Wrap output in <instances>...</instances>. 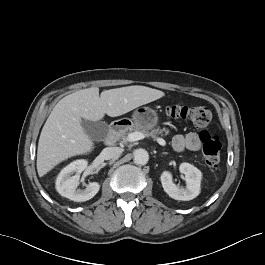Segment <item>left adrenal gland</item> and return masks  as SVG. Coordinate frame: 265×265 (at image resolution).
Returning a JSON list of instances; mask_svg holds the SVG:
<instances>
[{
    "mask_svg": "<svg viewBox=\"0 0 265 265\" xmlns=\"http://www.w3.org/2000/svg\"><path fill=\"white\" fill-rule=\"evenodd\" d=\"M162 154H163V155H166V154H168V153H167V152H163Z\"/></svg>",
    "mask_w": 265,
    "mask_h": 265,
    "instance_id": "a2214340",
    "label": "left adrenal gland"
}]
</instances>
